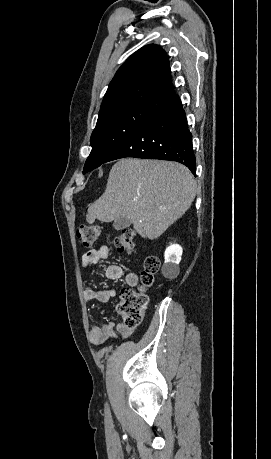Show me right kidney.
I'll return each mask as SVG.
<instances>
[{"label": "right kidney", "instance_id": "1", "mask_svg": "<svg viewBox=\"0 0 271 459\" xmlns=\"http://www.w3.org/2000/svg\"><path fill=\"white\" fill-rule=\"evenodd\" d=\"M182 247L179 243H170L165 249V261L162 265V273L165 277H177L179 273V261H181Z\"/></svg>", "mask_w": 271, "mask_h": 459}]
</instances>
